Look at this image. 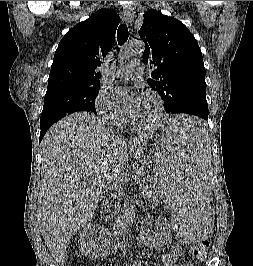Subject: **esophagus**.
Listing matches in <instances>:
<instances>
[{"mask_svg":"<svg viewBox=\"0 0 253 266\" xmlns=\"http://www.w3.org/2000/svg\"><path fill=\"white\" fill-rule=\"evenodd\" d=\"M123 14L126 22L132 24L133 22V11L130 7H124Z\"/></svg>","mask_w":253,"mask_h":266,"instance_id":"esophagus-1","label":"esophagus"}]
</instances>
